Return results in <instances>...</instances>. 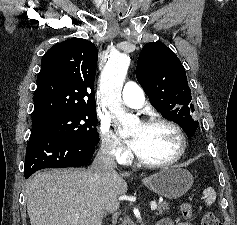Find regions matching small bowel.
<instances>
[{
	"label": "small bowel",
	"mask_w": 237,
	"mask_h": 225,
	"mask_svg": "<svg viewBox=\"0 0 237 225\" xmlns=\"http://www.w3.org/2000/svg\"><path fill=\"white\" fill-rule=\"evenodd\" d=\"M157 225H192L191 223L188 222H178L175 223L172 219L170 218H163L161 219Z\"/></svg>",
	"instance_id": "small-bowel-1"
}]
</instances>
